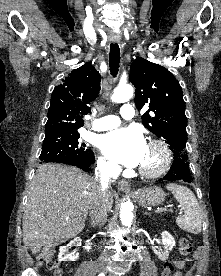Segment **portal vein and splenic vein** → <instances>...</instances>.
<instances>
[{
  "label": "portal vein and splenic vein",
  "mask_w": 221,
  "mask_h": 276,
  "mask_svg": "<svg viewBox=\"0 0 221 276\" xmlns=\"http://www.w3.org/2000/svg\"><path fill=\"white\" fill-rule=\"evenodd\" d=\"M170 207V206H169ZM165 211H173L171 208H161V209H157L155 210L156 213H161V212H165ZM181 213V212H180Z\"/></svg>",
  "instance_id": "1"
}]
</instances>
